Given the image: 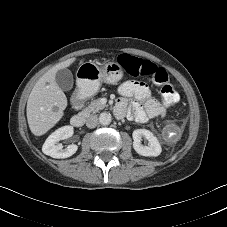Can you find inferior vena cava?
<instances>
[{
  "label": "inferior vena cava",
  "instance_id": "inferior-vena-cava-1",
  "mask_svg": "<svg viewBox=\"0 0 227 227\" xmlns=\"http://www.w3.org/2000/svg\"><path fill=\"white\" fill-rule=\"evenodd\" d=\"M98 124V117L96 115H91L87 118L86 126L89 128H94Z\"/></svg>",
  "mask_w": 227,
  "mask_h": 227
}]
</instances>
